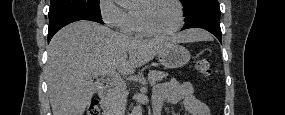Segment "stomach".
<instances>
[{"mask_svg":"<svg viewBox=\"0 0 285 115\" xmlns=\"http://www.w3.org/2000/svg\"><path fill=\"white\" fill-rule=\"evenodd\" d=\"M190 57L189 51L176 43L171 44L158 53L159 62L164 67L171 69L184 66L189 62Z\"/></svg>","mask_w":285,"mask_h":115,"instance_id":"stomach-1","label":"stomach"}]
</instances>
